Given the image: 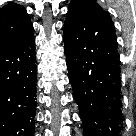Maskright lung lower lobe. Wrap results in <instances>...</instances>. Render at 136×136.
Returning a JSON list of instances; mask_svg holds the SVG:
<instances>
[{"instance_id": "98d812e1", "label": "right lung lower lobe", "mask_w": 136, "mask_h": 136, "mask_svg": "<svg viewBox=\"0 0 136 136\" xmlns=\"http://www.w3.org/2000/svg\"><path fill=\"white\" fill-rule=\"evenodd\" d=\"M33 33L0 46V136H33L36 65Z\"/></svg>"}]
</instances>
